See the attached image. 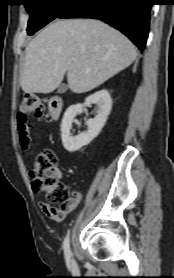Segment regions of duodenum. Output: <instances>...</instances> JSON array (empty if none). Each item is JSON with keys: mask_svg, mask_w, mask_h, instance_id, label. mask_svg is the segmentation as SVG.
Masks as SVG:
<instances>
[{"mask_svg": "<svg viewBox=\"0 0 174 278\" xmlns=\"http://www.w3.org/2000/svg\"><path fill=\"white\" fill-rule=\"evenodd\" d=\"M63 109V100L58 97H52L49 100V113L53 120H57L60 117V114Z\"/></svg>", "mask_w": 174, "mask_h": 278, "instance_id": "410a0bca", "label": "duodenum"}]
</instances>
